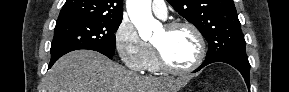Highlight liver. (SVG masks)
<instances>
[{"mask_svg":"<svg viewBox=\"0 0 289 92\" xmlns=\"http://www.w3.org/2000/svg\"><path fill=\"white\" fill-rule=\"evenodd\" d=\"M185 79L140 76L92 50L62 56L48 71L43 92H177Z\"/></svg>","mask_w":289,"mask_h":92,"instance_id":"1","label":"liver"}]
</instances>
